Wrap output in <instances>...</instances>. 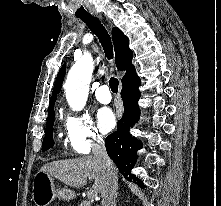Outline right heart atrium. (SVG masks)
<instances>
[{
  "instance_id": "1",
  "label": "right heart atrium",
  "mask_w": 221,
  "mask_h": 206,
  "mask_svg": "<svg viewBox=\"0 0 221 206\" xmlns=\"http://www.w3.org/2000/svg\"><path fill=\"white\" fill-rule=\"evenodd\" d=\"M66 127L70 148L76 153H89L92 148L103 142V136L88 114L70 115Z\"/></svg>"
}]
</instances>
